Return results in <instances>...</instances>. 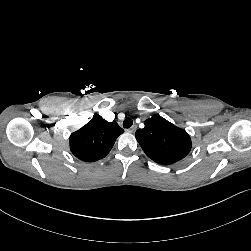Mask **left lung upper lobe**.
<instances>
[{"mask_svg": "<svg viewBox=\"0 0 251 251\" xmlns=\"http://www.w3.org/2000/svg\"><path fill=\"white\" fill-rule=\"evenodd\" d=\"M135 133L145 154L158 164L169 165L183 159L191 150L188 133L160 115L147 119Z\"/></svg>", "mask_w": 251, "mask_h": 251, "instance_id": "obj_1", "label": "left lung upper lobe"}]
</instances>
